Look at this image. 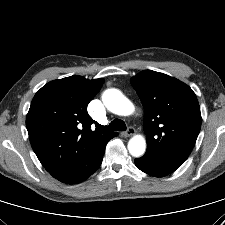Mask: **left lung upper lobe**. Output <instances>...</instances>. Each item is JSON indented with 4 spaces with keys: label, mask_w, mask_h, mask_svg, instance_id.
<instances>
[{
    "label": "left lung upper lobe",
    "mask_w": 225,
    "mask_h": 225,
    "mask_svg": "<svg viewBox=\"0 0 225 225\" xmlns=\"http://www.w3.org/2000/svg\"><path fill=\"white\" fill-rule=\"evenodd\" d=\"M131 84L144 107L147 151L182 165L201 128L195 93L183 82L152 70L134 76Z\"/></svg>",
    "instance_id": "left-lung-upper-lobe-1"
}]
</instances>
